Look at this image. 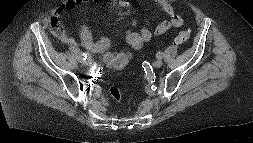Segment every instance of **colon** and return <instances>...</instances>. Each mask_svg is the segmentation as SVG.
<instances>
[{
  "label": "colon",
  "instance_id": "5ec220e1",
  "mask_svg": "<svg viewBox=\"0 0 253 143\" xmlns=\"http://www.w3.org/2000/svg\"><path fill=\"white\" fill-rule=\"evenodd\" d=\"M51 30L54 34H57V35H61L63 33L62 25L60 24V22L58 21L57 18H53L51 20ZM189 38H190V33L188 31H181L176 35L175 42L177 44H183L186 41H188ZM106 62L109 64L118 65L120 67H123L127 64L126 60L116 59L114 57H108L106 59ZM109 93H110L111 97L116 101H120L122 99V95H121L120 90L115 86L110 87Z\"/></svg>",
  "mask_w": 253,
  "mask_h": 143
}]
</instances>
